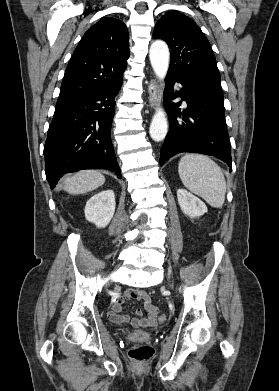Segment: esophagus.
<instances>
[{
	"mask_svg": "<svg viewBox=\"0 0 279 391\" xmlns=\"http://www.w3.org/2000/svg\"><path fill=\"white\" fill-rule=\"evenodd\" d=\"M148 93H149V104L152 108H155L158 106L161 95H160V88L158 85V82L156 80H152L148 87Z\"/></svg>",
	"mask_w": 279,
	"mask_h": 391,
	"instance_id": "34e87169",
	"label": "esophagus"
}]
</instances>
